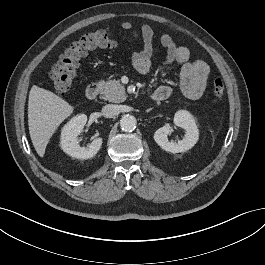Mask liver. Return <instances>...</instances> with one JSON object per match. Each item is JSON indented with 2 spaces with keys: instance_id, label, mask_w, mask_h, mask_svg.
<instances>
[{
  "instance_id": "1",
  "label": "liver",
  "mask_w": 265,
  "mask_h": 265,
  "mask_svg": "<svg viewBox=\"0 0 265 265\" xmlns=\"http://www.w3.org/2000/svg\"><path fill=\"white\" fill-rule=\"evenodd\" d=\"M73 109L53 92L32 86L28 100V126L33 146L40 157L44 156L50 138Z\"/></svg>"
}]
</instances>
